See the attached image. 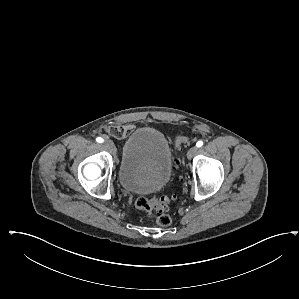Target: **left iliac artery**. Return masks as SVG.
Here are the masks:
<instances>
[{
	"mask_svg": "<svg viewBox=\"0 0 299 299\" xmlns=\"http://www.w3.org/2000/svg\"><path fill=\"white\" fill-rule=\"evenodd\" d=\"M196 146L198 148L202 147L203 146V141L202 140H199L197 143H196Z\"/></svg>",
	"mask_w": 299,
	"mask_h": 299,
	"instance_id": "obj_1",
	"label": "left iliac artery"
}]
</instances>
